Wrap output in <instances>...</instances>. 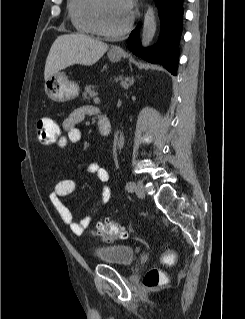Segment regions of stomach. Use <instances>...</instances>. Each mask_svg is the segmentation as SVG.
<instances>
[{"instance_id": "1", "label": "stomach", "mask_w": 245, "mask_h": 319, "mask_svg": "<svg viewBox=\"0 0 245 319\" xmlns=\"http://www.w3.org/2000/svg\"><path fill=\"white\" fill-rule=\"evenodd\" d=\"M122 53L110 51L108 57L110 61L117 62L122 58ZM46 95L55 102H66L74 99L79 94V86L71 81L64 72H56L44 83Z\"/></svg>"}]
</instances>
